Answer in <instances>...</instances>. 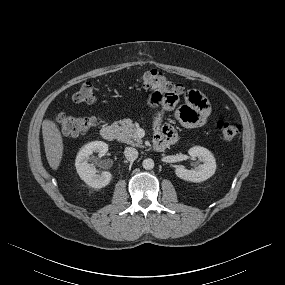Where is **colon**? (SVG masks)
I'll use <instances>...</instances> for the list:
<instances>
[{
    "instance_id": "colon-1",
    "label": "colon",
    "mask_w": 285,
    "mask_h": 285,
    "mask_svg": "<svg viewBox=\"0 0 285 285\" xmlns=\"http://www.w3.org/2000/svg\"><path fill=\"white\" fill-rule=\"evenodd\" d=\"M143 86L152 91L157 89H167L170 92H178L182 96L187 95V90L183 85L177 84L168 79L164 74L157 70H150L142 76ZM74 101L78 103L93 104L97 97L94 87L91 83L86 82L82 84L80 89L73 96ZM56 123L59 130L66 136H78L87 133L97 124L96 117H75L64 113L56 115ZM216 129L219 136L223 140H232L241 131L240 124L229 121H218Z\"/></svg>"
}]
</instances>
